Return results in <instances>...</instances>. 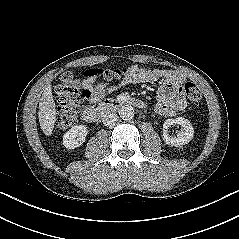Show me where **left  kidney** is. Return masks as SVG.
I'll use <instances>...</instances> for the list:
<instances>
[{
	"label": "left kidney",
	"instance_id": "obj_1",
	"mask_svg": "<svg viewBox=\"0 0 239 239\" xmlns=\"http://www.w3.org/2000/svg\"><path fill=\"white\" fill-rule=\"evenodd\" d=\"M174 124L181 125L182 129L178 132L177 136H170L167 129ZM194 136V128L191 122L184 117H178L175 119H167L163 124V141L171 146H181L191 141Z\"/></svg>",
	"mask_w": 239,
	"mask_h": 239
}]
</instances>
